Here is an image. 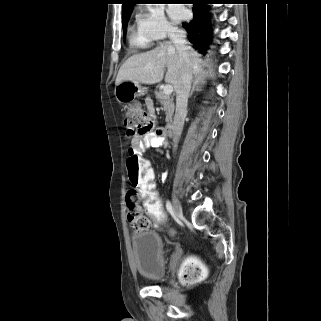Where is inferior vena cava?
<instances>
[{"mask_svg": "<svg viewBox=\"0 0 321 321\" xmlns=\"http://www.w3.org/2000/svg\"><path fill=\"white\" fill-rule=\"evenodd\" d=\"M168 37L175 45L180 58V77L176 87V111L173 121V143L177 146L187 113L188 97L191 88L192 72L186 33L183 30L170 29Z\"/></svg>", "mask_w": 321, "mask_h": 321, "instance_id": "602c4592", "label": "inferior vena cava"}]
</instances>
